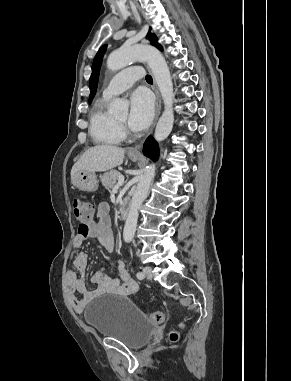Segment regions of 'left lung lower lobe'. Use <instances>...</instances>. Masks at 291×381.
<instances>
[{"mask_svg":"<svg viewBox=\"0 0 291 381\" xmlns=\"http://www.w3.org/2000/svg\"><path fill=\"white\" fill-rule=\"evenodd\" d=\"M143 153L145 156L149 157L154 161L158 158V145L157 142L151 136L144 143Z\"/></svg>","mask_w":291,"mask_h":381,"instance_id":"obj_1","label":"left lung lower lobe"}]
</instances>
